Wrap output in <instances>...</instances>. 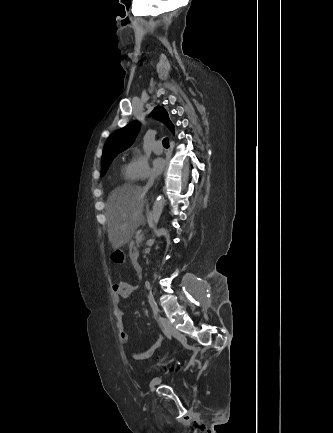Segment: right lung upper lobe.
Listing matches in <instances>:
<instances>
[{
    "instance_id": "right-lung-upper-lobe-1",
    "label": "right lung upper lobe",
    "mask_w": 333,
    "mask_h": 433,
    "mask_svg": "<svg viewBox=\"0 0 333 433\" xmlns=\"http://www.w3.org/2000/svg\"><path fill=\"white\" fill-rule=\"evenodd\" d=\"M152 116L162 121L174 134V125L169 119L167 111L157 106L152 111ZM141 124L138 121H133L122 129L114 132L106 142L103 154L102 163L113 156H117L120 152L129 148L140 131Z\"/></svg>"
}]
</instances>
